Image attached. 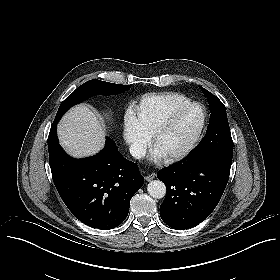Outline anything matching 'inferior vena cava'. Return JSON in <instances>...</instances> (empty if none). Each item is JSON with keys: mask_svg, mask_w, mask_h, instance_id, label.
<instances>
[{"mask_svg": "<svg viewBox=\"0 0 280 280\" xmlns=\"http://www.w3.org/2000/svg\"><path fill=\"white\" fill-rule=\"evenodd\" d=\"M129 152L135 159H140L145 155L144 148L138 144H131L129 147Z\"/></svg>", "mask_w": 280, "mask_h": 280, "instance_id": "602c4592", "label": "inferior vena cava"}]
</instances>
